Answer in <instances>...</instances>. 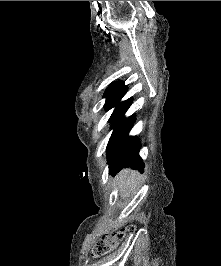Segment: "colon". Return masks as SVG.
Returning a JSON list of instances; mask_svg holds the SVG:
<instances>
[{
	"label": "colon",
	"mask_w": 221,
	"mask_h": 266,
	"mask_svg": "<svg viewBox=\"0 0 221 266\" xmlns=\"http://www.w3.org/2000/svg\"><path fill=\"white\" fill-rule=\"evenodd\" d=\"M134 229L135 228L133 226H128L116 232L104 234L95 245V255L100 256L109 253L127 234L133 232Z\"/></svg>",
	"instance_id": "5ec220e1"
}]
</instances>
